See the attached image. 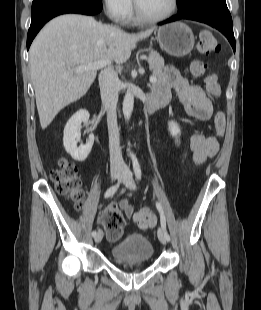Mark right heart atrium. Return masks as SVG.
<instances>
[{"label":"right heart atrium","instance_id":"right-heart-atrium-1","mask_svg":"<svg viewBox=\"0 0 261 310\" xmlns=\"http://www.w3.org/2000/svg\"><path fill=\"white\" fill-rule=\"evenodd\" d=\"M101 2L106 14L116 22L126 23L132 16L131 0H102Z\"/></svg>","mask_w":261,"mask_h":310}]
</instances>
